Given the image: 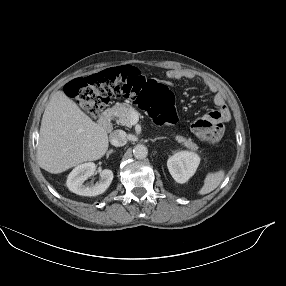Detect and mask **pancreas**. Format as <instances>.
I'll use <instances>...</instances> for the list:
<instances>
[{
    "instance_id": "obj_1",
    "label": "pancreas",
    "mask_w": 286,
    "mask_h": 286,
    "mask_svg": "<svg viewBox=\"0 0 286 286\" xmlns=\"http://www.w3.org/2000/svg\"><path fill=\"white\" fill-rule=\"evenodd\" d=\"M113 116L116 118V122L123 126L131 127V113L135 111L134 107L127 103H117L111 108ZM178 143H182L185 147L196 150L197 146L191 141V139L184 138L180 135L175 137Z\"/></svg>"
}]
</instances>
